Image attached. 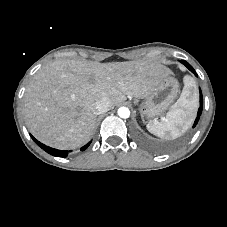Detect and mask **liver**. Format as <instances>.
<instances>
[{"label":"liver","mask_w":227,"mask_h":227,"mask_svg":"<svg viewBox=\"0 0 227 227\" xmlns=\"http://www.w3.org/2000/svg\"><path fill=\"white\" fill-rule=\"evenodd\" d=\"M172 71L149 61L97 63L57 60L38 70L23 97V113L30 132L58 149L87 143L95 127V102L112 105L127 96L146 98Z\"/></svg>","instance_id":"6515ba94"}]
</instances>
